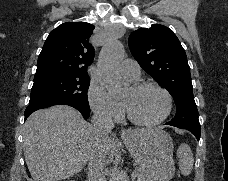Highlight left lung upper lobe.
I'll use <instances>...</instances> for the list:
<instances>
[{
  "instance_id": "left-lung-upper-lobe-1",
  "label": "left lung upper lobe",
  "mask_w": 228,
  "mask_h": 181,
  "mask_svg": "<svg viewBox=\"0 0 228 181\" xmlns=\"http://www.w3.org/2000/svg\"><path fill=\"white\" fill-rule=\"evenodd\" d=\"M129 48L142 69L172 95L177 109L168 122L181 129L200 128L186 53L171 29L152 25L132 32Z\"/></svg>"
}]
</instances>
